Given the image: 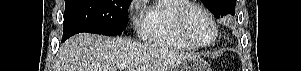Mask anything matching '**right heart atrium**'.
<instances>
[{"label": "right heart atrium", "instance_id": "right-heart-atrium-1", "mask_svg": "<svg viewBox=\"0 0 301 71\" xmlns=\"http://www.w3.org/2000/svg\"><path fill=\"white\" fill-rule=\"evenodd\" d=\"M141 3L140 0H134L129 8V15L130 17H132V19H134L133 24L136 26L138 24V21L140 20L139 18L137 19V21H135V18H137V13H138V8H139V4Z\"/></svg>", "mask_w": 301, "mask_h": 71}]
</instances>
